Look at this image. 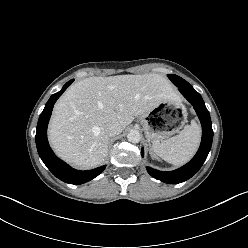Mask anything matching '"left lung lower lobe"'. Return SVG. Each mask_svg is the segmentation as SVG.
Returning a JSON list of instances; mask_svg holds the SVG:
<instances>
[{
    "mask_svg": "<svg viewBox=\"0 0 248 248\" xmlns=\"http://www.w3.org/2000/svg\"><path fill=\"white\" fill-rule=\"evenodd\" d=\"M183 96L193 105L202 125V140L198 152L193 159L183 167L170 172L158 171L147 167L148 173L157 180L169 184H177L191 178L203 165L211 149L213 130L210 114L201 95L194 88H179ZM144 155L143 149L141 151Z\"/></svg>",
    "mask_w": 248,
    "mask_h": 248,
    "instance_id": "obj_1",
    "label": "left lung lower lobe"
}]
</instances>
